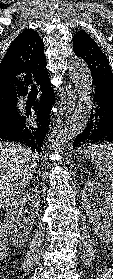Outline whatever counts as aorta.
<instances>
[{
	"label": "aorta",
	"mask_w": 113,
	"mask_h": 279,
	"mask_svg": "<svg viewBox=\"0 0 113 279\" xmlns=\"http://www.w3.org/2000/svg\"><path fill=\"white\" fill-rule=\"evenodd\" d=\"M69 76L77 91L78 101L76 109L60 133L61 141L64 143L82 133L88 123L92 108L89 96L92 83L91 72L83 59L75 57L71 60Z\"/></svg>",
	"instance_id": "1"
}]
</instances>
